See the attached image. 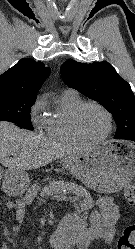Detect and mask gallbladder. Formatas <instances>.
Wrapping results in <instances>:
<instances>
[{
  "mask_svg": "<svg viewBox=\"0 0 135 249\" xmlns=\"http://www.w3.org/2000/svg\"><path fill=\"white\" fill-rule=\"evenodd\" d=\"M2 175H3V170H2V168H1V166H0V180H1V178H2Z\"/></svg>",
  "mask_w": 135,
  "mask_h": 249,
  "instance_id": "1",
  "label": "gallbladder"
}]
</instances>
